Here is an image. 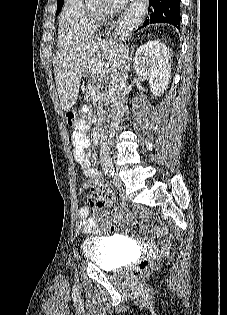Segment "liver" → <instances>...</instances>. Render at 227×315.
I'll return each mask as SVG.
<instances>
[{
	"label": "liver",
	"instance_id": "6515ba94",
	"mask_svg": "<svg viewBox=\"0 0 227 315\" xmlns=\"http://www.w3.org/2000/svg\"><path fill=\"white\" fill-rule=\"evenodd\" d=\"M125 51L117 41L97 40L58 53L53 58V67L62 109L69 111L75 105L81 78L88 69L92 74L112 73ZM126 62L130 67L128 58Z\"/></svg>",
	"mask_w": 227,
	"mask_h": 315
}]
</instances>
